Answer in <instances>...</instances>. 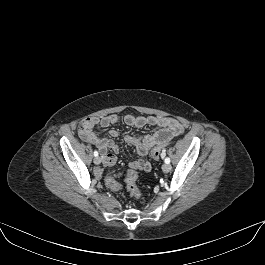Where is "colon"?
<instances>
[{
    "instance_id": "5ec220e1",
    "label": "colon",
    "mask_w": 265,
    "mask_h": 265,
    "mask_svg": "<svg viewBox=\"0 0 265 265\" xmlns=\"http://www.w3.org/2000/svg\"><path fill=\"white\" fill-rule=\"evenodd\" d=\"M79 131L81 134L88 131V126L85 121L80 124ZM166 146L167 143L154 147L150 153V156L154 160H158L159 158L163 157V155L166 153ZM137 179L138 173L136 170L130 169L126 172L127 189L133 196L139 198L141 196V192L137 187ZM106 185L113 192H118L121 189V184L115 175H111L106 178Z\"/></svg>"
}]
</instances>
